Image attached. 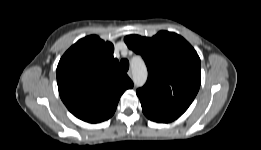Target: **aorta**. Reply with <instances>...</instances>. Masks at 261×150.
<instances>
[{
	"mask_svg": "<svg viewBox=\"0 0 261 150\" xmlns=\"http://www.w3.org/2000/svg\"><path fill=\"white\" fill-rule=\"evenodd\" d=\"M131 68L133 73V81L137 87H141L147 80V68L143 59L139 56L131 60Z\"/></svg>",
	"mask_w": 261,
	"mask_h": 150,
	"instance_id": "1",
	"label": "aorta"
}]
</instances>
